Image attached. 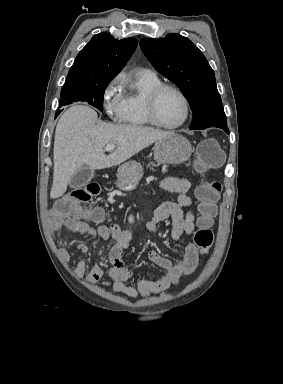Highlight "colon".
<instances>
[{
    "instance_id": "colon-1",
    "label": "colon",
    "mask_w": 283,
    "mask_h": 384,
    "mask_svg": "<svg viewBox=\"0 0 283 384\" xmlns=\"http://www.w3.org/2000/svg\"><path fill=\"white\" fill-rule=\"evenodd\" d=\"M224 155L216 141L212 139L202 141L197 147V167L200 171L215 169L221 165ZM100 191L99 185L90 183L84 187L74 189L65 197L58 200L56 210L61 214L74 217L88 216L94 221H101L104 214L101 210L85 211L83 204L89 202ZM222 192L219 181H210L200 184L196 188L198 201L197 230L193 241L196 247L206 253L213 242L212 225L217 214V202Z\"/></svg>"
}]
</instances>
